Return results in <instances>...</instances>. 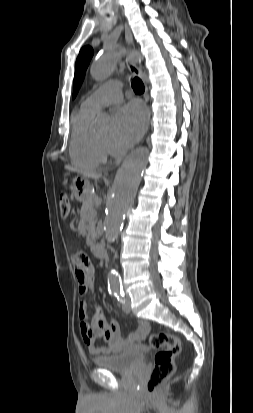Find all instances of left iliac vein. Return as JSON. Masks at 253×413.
<instances>
[{
    "label": "left iliac vein",
    "mask_w": 253,
    "mask_h": 413,
    "mask_svg": "<svg viewBox=\"0 0 253 413\" xmlns=\"http://www.w3.org/2000/svg\"><path fill=\"white\" fill-rule=\"evenodd\" d=\"M124 311H125L126 313H129V312L131 311L130 299H129V297H125Z\"/></svg>",
    "instance_id": "4c4485c4"
}]
</instances>
